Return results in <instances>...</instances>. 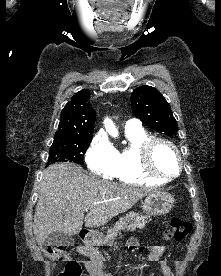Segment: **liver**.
<instances>
[{
    "instance_id": "obj_1",
    "label": "liver",
    "mask_w": 221,
    "mask_h": 276,
    "mask_svg": "<svg viewBox=\"0 0 221 276\" xmlns=\"http://www.w3.org/2000/svg\"><path fill=\"white\" fill-rule=\"evenodd\" d=\"M153 192L98 180L78 165H51L43 173L34 215L37 243L42 246L55 231L75 235L81 231L83 221L91 228L104 225ZM86 209L89 212L84 218Z\"/></svg>"
}]
</instances>
